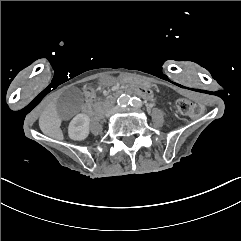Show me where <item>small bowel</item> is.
<instances>
[{
    "label": "small bowel",
    "mask_w": 241,
    "mask_h": 241,
    "mask_svg": "<svg viewBox=\"0 0 241 241\" xmlns=\"http://www.w3.org/2000/svg\"><path fill=\"white\" fill-rule=\"evenodd\" d=\"M102 82L107 84L109 81L107 79H104ZM84 94H85V99L87 101L86 106H85V110L89 111L91 109L90 107L94 103V100L96 98V94H95L94 89H92L88 86H86L84 88Z\"/></svg>",
    "instance_id": "small-bowel-1"
}]
</instances>
